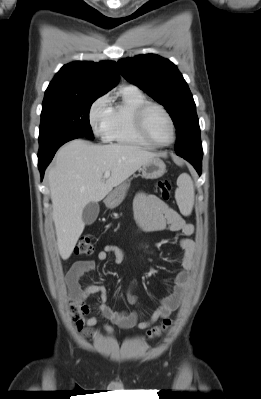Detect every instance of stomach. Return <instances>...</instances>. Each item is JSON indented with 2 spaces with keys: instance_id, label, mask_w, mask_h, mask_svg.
<instances>
[{
  "instance_id": "1",
  "label": "stomach",
  "mask_w": 261,
  "mask_h": 399,
  "mask_svg": "<svg viewBox=\"0 0 261 399\" xmlns=\"http://www.w3.org/2000/svg\"><path fill=\"white\" fill-rule=\"evenodd\" d=\"M140 170L143 178L157 179L166 172V165L159 157H154L144 163ZM129 186L130 183L128 181L115 187L104 200L106 207L113 209L119 206L124 200Z\"/></svg>"
}]
</instances>
